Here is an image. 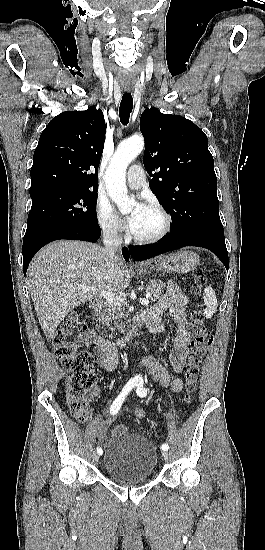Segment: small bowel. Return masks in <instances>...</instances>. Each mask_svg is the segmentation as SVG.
<instances>
[{"label":"small bowel","instance_id":"c3829d8e","mask_svg":"<svg viewBox=\"0 0 265 550\" xmlns=\"http://www.w3.org/2000/svg\"><path fill=\"white\" fill-rule=\"evenodd\" d=\"M188 299L186 295L173 283H168L164 295L150 308L143 311L139 318L144 321L153 334H162L165 331L163 316L166 312L175 323V333L172 337L173 348L170 354V361L175 372L180 373L189 355V343L191 336L186 327L185 308ZM80 345L93 348L97 353L99 365L106 371H114L117 368L119 357L113 344L106 338L96 334L93 329H88L77 338ZM140 366L157 382L161 387L170 385L171 390L180 392L184 382L180 377L171 378L168 369L153 356L144 358ZM138 418L145 416L144 411L137 407ZM113 417L107 416L98 424L99 440H102L108 424Z\"/></svg>","mask_w":265,"mask_h":550}]
</instances>
